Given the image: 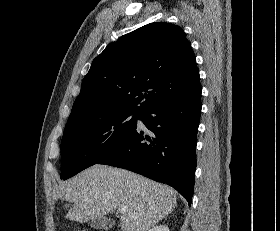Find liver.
<instances>
[{
	"mask_svg": "<svg viewBox=\"0 0 280 231\" xmlns=\"http://www.w3.org/2000/svg\"><path fill=\"white\" fill-rule=\"evenodd\" d=\"M58 197L73 203L67 217L74 221L104 217L125 207L120 217L122 231H148L176 205L172 187L107 165H92L67 179L60 185Z\"/></svg>",
	"mask_w": 280,
	"mask_h": 231,
	"instance_id": "liver-1",
	"label": "liver"
}]
</instances>
